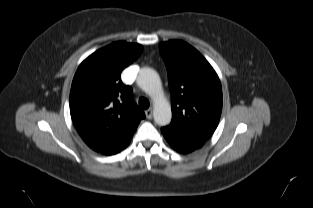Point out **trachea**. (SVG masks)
I'll list each match as a JSON object with an SVG mask.
<instances>
[{
	"mask_svg": "<svg viewBox=\"0 0 313 208\" xmlns=\"http://www.w3.org/2000/svg\"><path fill=\"white\" fill-rule=\"evenodd\" d=\"M139 106H140L142 109H147V108H149L150 103H149L148 99H146V98H144V97H140V98H139Z\"/></svg>",
	"mask_w": 313,
	"mask_h": 208,
	"instance_id": "trachea-1",
	"label": "trachea"
}]
</instances>
